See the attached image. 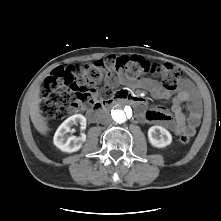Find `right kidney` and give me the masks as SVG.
Here are the masks:
<instances>
[{
    "label": "right kidney",
    "instance_id": "obj_1",
    "mask_svg": "<svg viewBox=\"0 0 221 221\" xmlns=\"http://www.w3.org/2000/svg\"><path fill=\"white\" fill-rule=\"evenodd\" d=\"M81 125V129L86 128V118L81 114H75L67 118L55 132L53 142L63 152L72 153L78 151L82 144L86 141V135L81 133V136H68V132L73 125Z\"/></svg>",
    "mask_w": 221,
    "mask_h": 221
}]
</instances>
